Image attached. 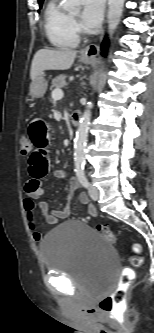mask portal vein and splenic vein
Listing matches in <instances>:
<instances>
[{
    "label": "portal vein and splenic vein",
    "mask_w": 154,
    "mask_h": 333,
    "mask_svg": "<svg viewBox=\"0 0 154 333\" xmlns=\"http://www.w3.org/2000/svg\"><path fill=\"white\" fill-rule=\"evenodd\" d=\"M63 95L64 93L60 88H56L55 90L52 91V98L61 99L63 98Z\"/></svg>",
    "instance_id": "obj_1"
}]
</instances>
